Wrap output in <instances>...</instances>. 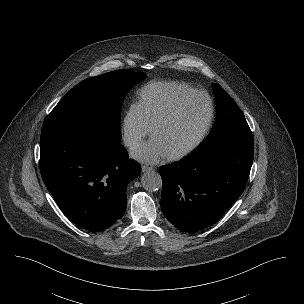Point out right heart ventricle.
<instances>
[{
    "mask_svg": "<svg viewBox=\"0 0 304 304\" xmlns=\"http://www.w3.org/2000/svg\"><path fill=\"white\" fill-rule=\"evenodd\" d=\"M194 89L178 82H156L142 88L138 104L142 114L152 128L156 119L161 116L179 97Z\"/></svg>",
    "mask_w": 304,
    "mask_h": 304,
    "instance_id": "e07e8e85",
    "label": "right heart ventricle"
}]
</instances>
